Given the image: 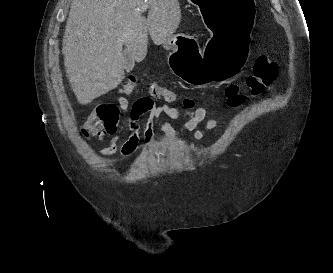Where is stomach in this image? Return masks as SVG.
I'll return each instance as SVG.
<instances>
[{
	"instance_id": "obj_1",
	"label": "stomach",
	"mask_w": 333,
	"mask_h": 273,
	"mask_svg": "<svg viewBox=\"0 0 333 273\" xmlns=\"http://www.w3.org/2000/svg\"><path fill=\"white\" fill-rule=\"evenodd\" d=\"M201 16L203 28L210 32L205 53H196L190 35L178 33L163 43L170 53L171 68L186 83L204 87L209 81H232L241 75L250 58V32L257 23L256 0H188ZM200 57V58H199Z\"/></svg>"
}]
</instances>
